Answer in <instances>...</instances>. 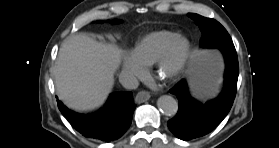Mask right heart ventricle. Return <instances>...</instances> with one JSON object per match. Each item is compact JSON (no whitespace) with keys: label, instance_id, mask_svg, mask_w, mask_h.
Listing matches in <instances>:
<instances>
[{"label":"right heart ventricle","instance_id":"right-heart-ventricle-1","mask_svg":"<svg viewBox=\"0 0 279 148\" xmlns=\"http://www.w3.org/2000/svg\"><path fill=\"white\" fill-rule=\"evenodd\" d=\"M176 35L166 30L149 33L137 43L133 54L142 65L151 66L158 61Z\"/></svg>","mask_w":279,"mask_h":148}]
</instances>
